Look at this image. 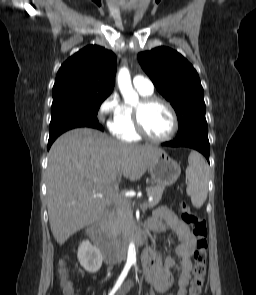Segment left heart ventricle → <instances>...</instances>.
<instances>
[{
  "mask_svg": "<svg viewBox=\"0 0 256 295\" xmlns=\"http://www.w3.org/2000/svg\"><path fill=\"white\" fill-rule=\"evenodd\" d=\"M138 105L139 103L136 107ZM141 120L147 132L154 137H164L172 129L171 115L168 109L160 103L151 104L143 109Z\"/></svg>",
  "mask_w": 256,
  "mask_h": 295,
  "instance_id": "left-heart-ventricle-1",
  "label": "left heart ventricle"
}]
</instances>
